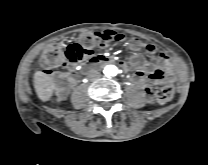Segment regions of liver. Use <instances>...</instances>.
<instances>
[{
  "label": "liver",
  "mask_w": 208,
  "mask_h": 165,
  "mask_svg": "<svg viewBox=\"0 0 208 165\" xmlns=\"http://www.w3.org/2000/svg\"><path fill=\"white\" fill-rule=\"evenodd\" d=\"M34 89L39 99L46 102L50 100L55 89V85L51 81L50 77L41 71H37L34 74Z\"/></svg>",
  "instance_id": "1"
}]
</instances>
